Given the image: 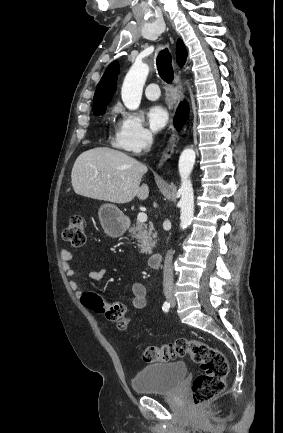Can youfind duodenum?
Listing matches in <instances>:
<instances>
[{"label": "duodenum", "instance_id": "duodenum-1", "mask_svg": "<svg viewBox=\"0 0 283 433\" xmlns=\"http://www.w3.org/2000/svg\"><path fill=\"white\" fill-rule=\"evenodd\" d=\"M161 263H162V254L154 253L149 257L148 265L151 268L157 269L160 267Z\"/></svg>", "mask_w": 283, "mask_h": 433}]
</instances>
